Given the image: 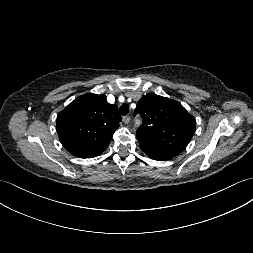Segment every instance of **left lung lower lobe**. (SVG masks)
Segmentation results:
<instances>
[{
    "label": "left lung lower lobe",
    "mask_w": 253,
    "mask_h": 253,
    "mask_svg": "<svg viewBox=\"0 0 253 253\" xmlns=\"http://www.w3.org/2000/svg\"><path fill=\"white\" fill-rule=\"evenodd\" d=\"M150 158L154 159V160H159V161H163V160H168L171 159L173 156L170 155H166L164 153H160L157 151H148V150H143Z\"/></svg>",
    "instance_id": "left-lung-lower-lobe-1"
}]
</instances>
